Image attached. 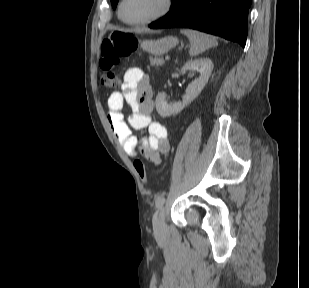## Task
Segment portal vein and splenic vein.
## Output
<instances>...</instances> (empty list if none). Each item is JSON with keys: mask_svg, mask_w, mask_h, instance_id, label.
Wrapping results in <instances>:
<instances>
[{"mask_svg": "<svg viewBox=\"0 0 309 288\" xmlns=\"http://www.w3.org/2000/svg\"><path fill=\"white\" fill-rule=\"evenodd\" d=\"M170 59V56L169 55H166L165 56V60H169Z\"/></svg>", "mask_w": 309, "mask_h": 288, "instance_id": "portal-vein-and-splenic-vein-1", "label": "portal vein and splenic vein"}]
</instances>
